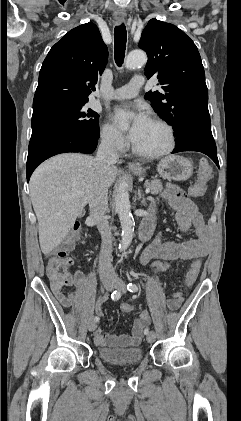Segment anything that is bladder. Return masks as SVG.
I'll return each mask as SVG.
<instances>
[{
	"label": "bladder",
	"instance_id": "1",
	"mask_svg": "<svg viewBox=\"0 0 241 421\" xmlns=\"http://www.w3.org/2000/svg\"><path fill=\"white\" fill-rule=\"evenodd\" d=\"M97 354L103 361L113 365L135 364L143 357L142 350L138 347L126 349L99 347Z\"/></svg>",
	"mask_w": 241,
	"mask_h": 421
}]
</instances>
